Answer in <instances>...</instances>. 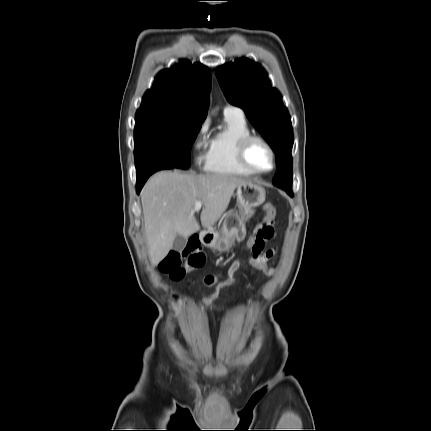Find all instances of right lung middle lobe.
<instances>
[{
	"label": "right lung middle lobe",
	"mask_w": 431,
	"mask_h": 431,
	"mask_svg": "<svg viewBox=\"0 0 431 431\" xmlns=\"http://www.w3.org/2000/svg\"><path fill=\"white\" fill-rule=\"evenodd\" d=\"M201 123L148 117L135 119L134 153L136 172L153 164L187 169L192 144Z\"/></svg>",
	"instance_id": "right-lung-middle-lobe-1"
}]
</instances>
